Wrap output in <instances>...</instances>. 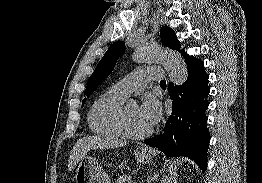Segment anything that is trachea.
Returning <instances> with one entry per match:
<instances>
[{
	"mask_svg": "<svg viewBox=\"0 0 262 183\" xmlns=\"http://www.w3.org/2000/svg\"><path fill=\"white\" fill-rule=\"evenodd\" d=\"M160 85H166V82L164 80L160 81Z\"/></svg>",
	"mask_w": 262,
	"mask_h": 183,
	"instance_id": "trachea-1",
	"label": "trachea"
}]
</instances>
